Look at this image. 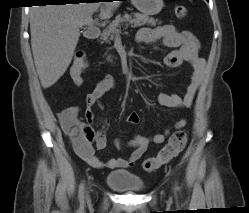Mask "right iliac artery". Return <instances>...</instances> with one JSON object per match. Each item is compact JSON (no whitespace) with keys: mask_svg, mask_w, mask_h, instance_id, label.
<instances>
[{"mask_svg":"<svg viewBox=\"0 0 249 213\" xmlns=\"http://www.w3.org/2000/svg\"><path fill=\"white\" fill-rule=\"evenodd\" d=\"M84 187H85V184H84V181L80 183L79 185V192H78V196H79V200L82 202L83 199H84Z\"/></svg>","mask_w":249,"mask_h":213,"instance_id":"obj_1","label":"right iliac artery"}]
</instances>
